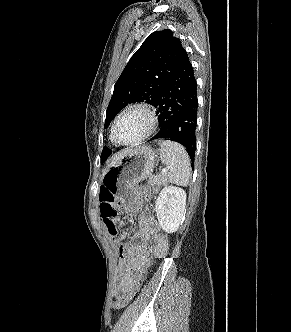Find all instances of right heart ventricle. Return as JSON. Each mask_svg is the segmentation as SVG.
Listing matches in <instances>:
<instances>
[{
    "mask_svg": "<svg viewBox=\"0 0 291 332\" xmlns=\"http://www.w3.org/2000/svg\"><path fill=\"white\" fill-rule=\"evenodd\" d=\"M111 140H112V142L116 143V142L114 141V139H113L112 135H111Z\"/></svg>",
    "mask_w": 291,
    "mask_h": 332,
    "instance_id": "right-heart-ventricle-1",
    "label": "right heart ventricle"
}]
</instances>
